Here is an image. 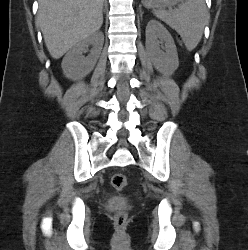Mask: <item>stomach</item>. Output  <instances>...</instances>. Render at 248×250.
<instances>
[{
	"label": "stomach",
	"mask_w": 248,
	"mask_h": 250,
	"mask_svg": "<svg viewBox=\"0 0 248 250\" xmlns=\"http://www.w3.org/2000/svg\"><path fill=\"white\" fill-rule=\"evenodd\" d=\"M182 0H142V3L147 8H165L176 5Z\"/></svg>",
	"instance_id": "1"
}]
</instances>
